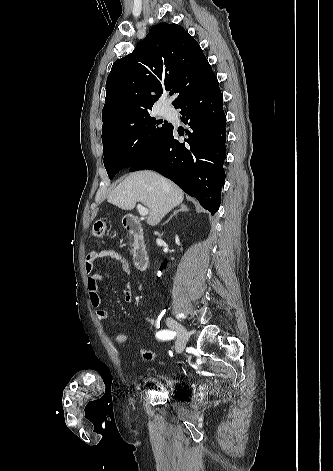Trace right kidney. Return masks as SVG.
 I'll list each match as a JSON object with an SVG mask.
<instances>
[{"label":"right kidney","instance_id":"1","mask_svg":"<svg viewBox=\"0 0 333 471\" xmlns=\"http://www.w3.org/2000/svg\"><path fill=\"white\" fill-rule=\"evenodd\" d=\"M175 242H176L177 245H180L178 236L175 237Z\"/></svg>","mask_w":333,"mask_h":471}]
</instances>
